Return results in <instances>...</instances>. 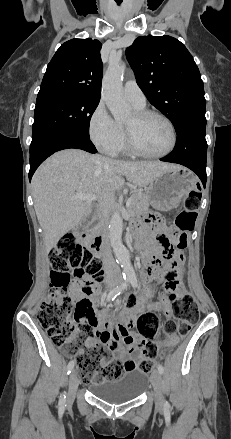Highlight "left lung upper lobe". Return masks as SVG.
<instances>
[{"instance_id":"left-lung-upper-lobe-1","label":"left lung upper lobe","mask_w":231,"mask_h":439,"mask_svg":"<svg viewBox=\"0 0 231 439\" xmlns=\"http://www.w3.org/2000/svg\"><path fill=\"white\" fill-rule=\"evenodd\" d=\"M126 57L149 102L173 123L177 133L186 123L205 119L203 81L192 55L179 40L138 37L126 49Z\"/></svg>"}]
</instances>
